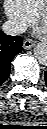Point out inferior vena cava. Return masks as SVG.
<instances>
[{
	"instance_id": "obj_1",
	"label": "inferior vena cava",
	"mask_w": 47,
	"mask_h": 129,
	"mask_svg": "<svg viewBox=\"0 0 47 129\" xmlns=\"http://www.w3.org/2000/svg\"><path fill=\"white\" fill-rule=\"evenodd\" d=\"M2 31L8 35H19L26 31L25 26L17 21L8 20L2 25Z\"/></svg>"
}]
</instances>
